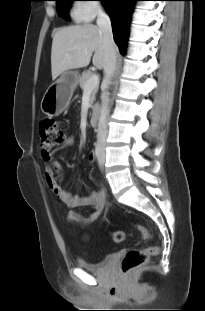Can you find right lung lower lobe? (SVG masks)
<instances>
[{
	"mask_svg": "<svg viewBox=\"0 0 205 311\" xmlns=\"http://www.w3.org/2000/svg\"><path fill=\"white\" fill-rule=\"evenodd\" d=\"M112 22L114 40L121 53L125 54L128 41L130 15L138 0H102Z\"/></svg>",
	"mask_w": 205,
	"mask_h": 311,
	"instance_id": "obj_1",
	"label": "right lung lower lobe"
}]
</instances>
